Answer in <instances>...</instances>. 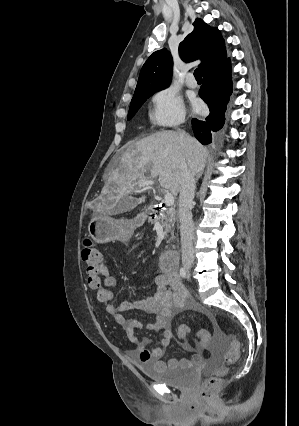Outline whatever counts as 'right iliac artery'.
I'll use <instances>...</instances> for the list:
<instances>
[{"mask_svg":"<svg viewBox=\"0 0 299 426\" xmlns=\"http://www.w3.org/2000/svg\"><path fill=\"white\" fill-rule=\"evenodd\" d=\"M180 276H181L182 278H185V277H186V270H185L183 267L180 269Z\"/></svg>","mask_w":299,"mask_h":426,"instance_id":"right-iliac-artery-1","label":"right iliac artery"}]
</instances>
